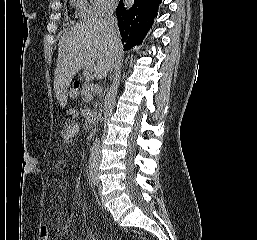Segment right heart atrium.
Segmentation results:
<instances>
[{"label": "right heart atrium", "mask_w": 257, "mask_h": 240, "mask_svg": "<svg viewBox=\"0 0 257 240\" xmlns=\"http://www.w3.org/2000/svg\"><path fill=\"white\" fill-rule=\"evenodd\" d=\"M116 7L115 0H92L88 9L91 16H103L111 13Z\"/></svg>", "instance_id": "d8ad5b80"}]
</instances>
